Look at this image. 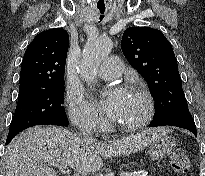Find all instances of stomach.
I'll list each match as a JSON object with an SVG mask.
<instances>
[{"instance_id": "1", "label": "stomach", "mask_w": 205, "mask_h": 176, "mask_svg": "<svg viewBox=\"0 0 205 176\" xmlns=\"http://www.w3.org/2000/svg\"><path fill=\"white\" fill-rule=\"evenodd\" d=\"M175 146L176 141L174 137L170 136L167 132L161 134L150 144V157L155 160L163 159L171 153ZM129 165H134V162L130 163Z\"/></svg>"}]
</instances>
